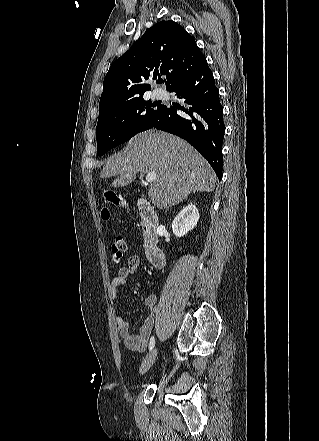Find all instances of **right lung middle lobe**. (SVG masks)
Wrapping results in <instances>:
<instances>
[{
    "mask_svg": "<svg viewBox=\"0 0 319 441\" xmlns=\"http://www.w3.org/2000/svg\"><path fill=\"white\" fill-rule=\"evenodd\" d=\"M156 106L142 98L99 111L97 155L101 156L137 133L152 128L164 109L163 105L155 109Z\"/></svg>",
    "mask_w": 319,
    "mask_h": 441,
    "instance_id": "obj_1",
    "label": "right lung middle lobe"
}]
</instances>
